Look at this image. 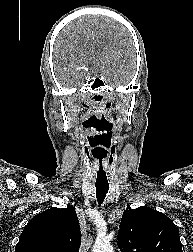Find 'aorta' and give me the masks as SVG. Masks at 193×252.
Listing matches in <instances>:
<instances>
[{
    "instance_id": "762f6f07",
    "label": "aorta",
    "mask_w": 193,
    "mask_h": 252,
    "mask_svg": "<svg viewBox=\"0 0 193 252\" xmlns=\"http://www.w3.org/2000/svg\"><path fill=\"white\" fill-rule=\"evenodd\" d=\"M92 252H114V250L109 241L97 240L93 246Z\"/></svg>"
}]
</instances>
